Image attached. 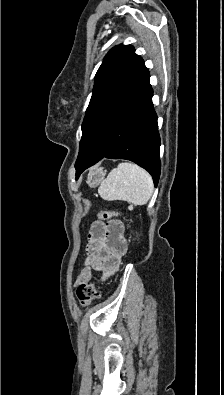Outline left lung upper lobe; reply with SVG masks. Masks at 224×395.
<instances>
[{
    "label": "left lung upper lobe",
    "mask_w": 224,
    "mask_h": 395,
    "mask_svg": "<svg viewBox=\"0 0 224 395\" xmlns=\"http://www.w3.org/2000/svg\"><path fill=\"white\" fill-rule=\"evenodd\" d=\"M143 59L130 45H118L105 56L95 77L93 94L82 123L77 160L82 155L98 113L144 68Z\"/></svg>",
    "instance_id": "left-lung-upper-lobe-1"
}]
</instances>
